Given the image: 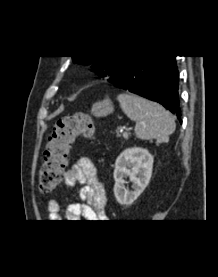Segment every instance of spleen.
Masks as SVG:
<instances>
[{
	"label": "spleen",
	"instance_id": "1",
	"mask_svg": "<svg viewBox=\"0 0 218 277\" xmlns=\"http://www.w3.org/2000/svg\"><path fill=\"white\" fill-rule=\"evenodd\" d=\"M117 100L127 117L136 122V137L166 142L175 131L174 117L159 104L134 94H120Z\"/></svg>",
	"mask_w": 218,
	"mask_h": 277
}]
</instances>
